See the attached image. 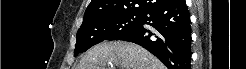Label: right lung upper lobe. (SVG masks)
Here are the masks:
<instances>
[{"mask_svg":"<svg viewBox=\"0 0 246 69\" xmlns=\"http://www.w3.org/2000/svg\"><path fill=\"white\" fill-rule=\"evenodd\" d=\"M165 0H91L84 20L102 19L121 14H143L146 10L162 4Z\"/></svg>","mask_w":246,"mask_h":69,"instance_id":"right-lung-upper-lobe-1","label":"right lung upper lobe"}]
</instances>
